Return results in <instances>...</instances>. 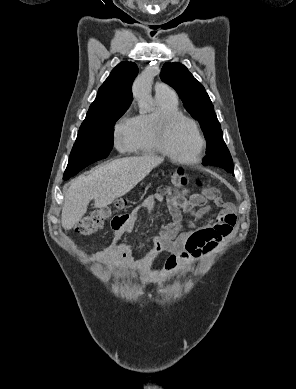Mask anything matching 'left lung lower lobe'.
Returning <instances> with one entry per match:
<instances>
[{
    "label": "left lung lower lobe",
    "instance_id": "obj_1",
    "mask_svg": "<svg viewBox=\"0 0 296 389\" xmlns=\"http://www.w3.org/2000/svg\"><path fill=\"white\" fill-rule=\"evenodd\" d=\"M218 155L220 157H224V158H230L231 155H230V152L226 146V144H224L218 151ZM233 171H231L230 173H232Z\"/></svg>",
    "mask_w": 296,
    "mask_h": 389
}]
</instances>
